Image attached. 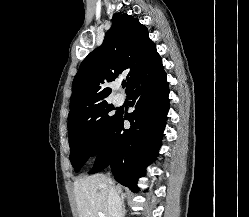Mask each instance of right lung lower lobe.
<instances>
[{
  "label": "right lung lower lobe",
  "instance_id": "1",
  "mask_svg": "<svg viewBox=\"0 0 249 217\" xmlns=\"http://www.w3.org/2000/svg\"><path fill=\"white\" fill-rule=\"evenodd\" d=\"M127 95L135 110L120 113L89 174L111 166L116 181L137 191V180L145 173L161 146L169 110V89L162 59L157 54L148 67L129 86ZM128 120L129 129L123 122Z\"/></svg>",
  "mask_w": 249,
  "mask_h": 217
}]
</instances>
